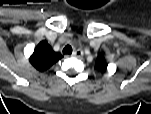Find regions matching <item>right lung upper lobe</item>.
Wrapping results in <instances>:
<instances>
[{"instance_id":"right-lung-upper-lobe-1","label":"right lung upper lobe","mask_w":151,"mask_h":114,"mask_svg":"<svg viewBox=\"0 0 151 114\" xmlns=\"http://www.w3.org/2000/svg\"><path fill=\"white\" fill-rule=\"evenodd\" d=\"M62 55L54 52L46 41H41L30 57V63L40 72L46 71L59 61Z\"/></svg>"}]
</instances>
